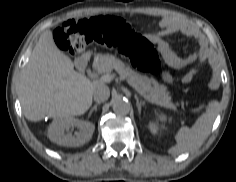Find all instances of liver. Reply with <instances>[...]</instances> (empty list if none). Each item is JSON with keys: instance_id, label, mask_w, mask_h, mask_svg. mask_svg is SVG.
Returning <instances> with one entry per match:
<instances>
[{"instance_id": "liver-1", "label": "liver", "mask_w": 236, "mask_h": 182, "mask_svg": "<svg viewBox=\"0 0 236 182\" xmlns=\"http://www.w3.org/2000/svg\"><path fill=\"white\" fill-rule=\"evenodd\" d=\"M111 80L112 75L106 74L92 82L76 72L71 59L55 44L52 32L46 30L21 73L19 100L23 114L31 121L82 115L92 105L95 84Z\"/></svg>"}]
</instances>
